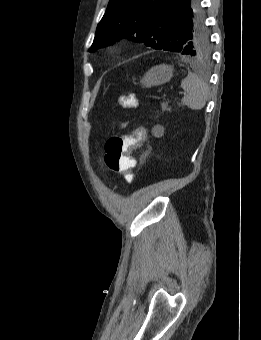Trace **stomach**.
Masks as SVG:
<instances>
[{"label":"stomach","instance_id":"obj_1","mask_svg":"<svg viewBox=\"0 0 261 340\" xmlns=\"http://www.w3.org/2000/svg\"><path fill=\"white\" fill-rule=\"evenodd\" d=\"M173 77V67L169 65H157L152 67L141 79L143 87L162 85Z\"/></svg>","mask_w":261,"mask_h":340}]
</instances>
